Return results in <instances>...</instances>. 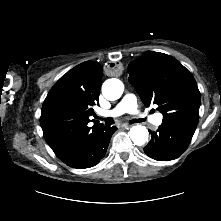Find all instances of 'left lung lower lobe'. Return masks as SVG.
I'll use <instances>...</instances> for the list:
<instances>
[{"label":"left lung lower lobe","instance_id":"left-lung-lower-lobe-1","mask_svg":"<svg viewBox=\"0 0 221 221\" xmlns=\"http://www.w3.org/2000/svg\"><path fill=\"white\" fill-rule=\"evenodd\" d=\"M197 124L195 121H163L157 132H151V141L144 152L157 161L178 158L189 145Z\"/></svg>","mask_w":221,"mask_h":221}]
</instances>
